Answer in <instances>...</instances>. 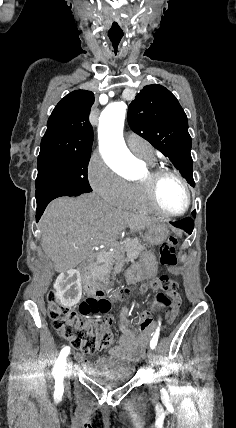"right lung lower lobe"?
I'll use <instances>...</instances> for the list:
<instances>
[{
  "label": "right lung lower lobe",
  "instance_id": "98d812e1",
  "mask_svg": "<svg viewBox=\"0 0 236 428\" xmlns=\"http://www.w3.org/2000/svg\"><path fill=\"white\" fill-rule=\"evenodd\" d=\"M80 194H81V193H79V194H74V195H71V196H78V195H80ZM53 199H55V198L48 199V200H46V201H44V202H41V203H37V211H36V220H37V221L40 219V217H41V215L43 214V212H44V210H45L46 206L48 205V203H49L50 201H52Z\"/></svg>",
  "mask_w": 236,
  "mask_h": 428
}]
</instances>
